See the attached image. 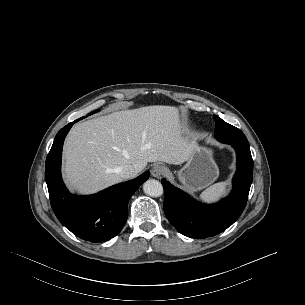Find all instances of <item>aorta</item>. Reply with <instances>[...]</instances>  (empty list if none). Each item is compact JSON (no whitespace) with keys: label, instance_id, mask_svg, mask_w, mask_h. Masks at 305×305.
Listing matches in <instances>:
<instances>
[{"label":"aorta","instance_id":"aorta-1","mask_svg":"<svg viewBox=\"0 0 305 305\" xmlns=\"http://www.w3.org/2000/svg\"><path fill=\"white\" fill-rule=\"evenodd\" d=\"M143 190L145 194L152 197H159L163 194V186L162 184L155 180L149 179L143 184Z\"/></svg>","mask_w":305,"mask_h":305}]
</instances>
